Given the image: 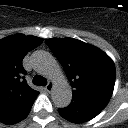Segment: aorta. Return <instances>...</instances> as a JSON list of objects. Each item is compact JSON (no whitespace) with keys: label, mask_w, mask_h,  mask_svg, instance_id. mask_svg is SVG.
I'll use <instances>...</instances> for the list:
<instances>
[{"label":"aorta","mask_w":128,"mask_h":128,"mask_svg":"<svg viewBox=\"0 0 128 128\" xmlns=\"http://www.w3.org/2000/svg\"><path fill=\"white\" fill-rule=\"evenodd\" d=\"M35 69L50 77L55 83L53 102L58 108L67 107L72 100V90L65 80V76L55 58L46 51H36L31 57Z\"/></svg>","instance_id":"762f6f07"}]
</instances>
